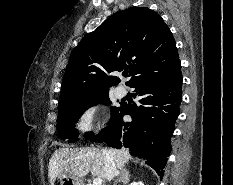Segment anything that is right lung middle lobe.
I'll return each instance as SVG.
<instances>
[{"label":"right lung middle lobe","instance_id":"1","mask_svg":"<svg viewBox=\"0 0 233 185\" xmlns=\"http://www.w3.org/2000/svg\"><path fill=\"white\" fill-rule=\"evenodd\" d=\"M98 103L110 104L108 91L99 92L85 99L59 106L57 118L59 136L63 140L69 138V142L76 141L77 130L75 129V123L86 109ZM117 109H112V115L117 111ZM92 136L93 133L85 134L86 139H89Z\"/></svg>","mask_w":233,"mask_h":185}]
</instances>
